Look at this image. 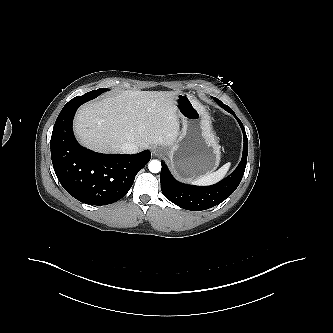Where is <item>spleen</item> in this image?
Here are the masks:
<instances>
[{
	"instance_id": "3e777b00",
	"label": "spleen",
	"mask_w": 333,
	"mask_h": 333,
	"mask_svg": "<svg viewBox=\"0 0 333 333\" xmlns=\"http://www.w3.org/2000/svg\"><path fill=\"white\" fill-rule=\"evenodd\" d=\"M230 166H231V163L228 162L225 165H223L220 169H218L217 171L200 176V177L192 180L191 183L194 185H202V186L215 184L224 178V176L228 172Z\"/></svg>"
}]
</instances>
